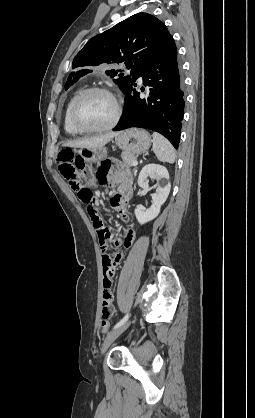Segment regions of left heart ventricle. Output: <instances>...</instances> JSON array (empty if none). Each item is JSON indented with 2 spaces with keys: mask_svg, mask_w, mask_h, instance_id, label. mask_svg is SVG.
I'll return each instance as SVG.
<instances>
[{
  "mask_svg": "<svg viewBox=\"0 0 255 418\" xmlns=\"http://www.w3.org/2000/svg\"><path fill=\"white\" fill-rule=\"evenodd\" d=\"M114 112V102L109 96L103 93H92L81 102L77 120L85 127H101L111 121Z\"/></svg>",
  "mask_w": 255,
  "mask_h": 418,
  "instance_id": "1",
  "label": "left heart ventricle"
}]
</instances>
